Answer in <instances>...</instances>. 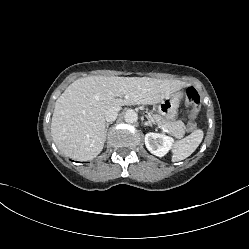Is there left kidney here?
I'll list each match as a JSON object with an SVG mask.
<instances>
[{"mask_svg": "<svg viewBox=\"0 0 249 249\" xmlns=\"http://www.w3.org/2000/svg\"><path fill=\"white\" fill-rule=\"evenodd\" d=\"M174 144V139L159 133L149 132L145 135L147 149L158 157L165 156Z\"/></svg>", "mask_w": 249, "mask_h": 249, "instance_id": "left-kidney-1", "label": "left kidney"}]
</instances>
